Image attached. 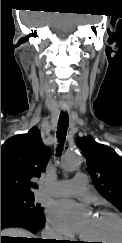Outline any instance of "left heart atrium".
<instances>
[{
    "instance_id": "39dd6f15",
    "label": "left heart atrium",
    "mask_w": 122,
    "mask_h": 243,
    "mask_svg": "<svg viewBox=\"0 0 122 243\" xmlns=\"http://www.w3.org/2000/svg\"><path fill=\"white\" fill-rule=\"evenodd\" d=\"M48 218L59 231L82 235L91 216L83 205L70 199H60L49 206Z\"/></svg>"
}]
</instances>
